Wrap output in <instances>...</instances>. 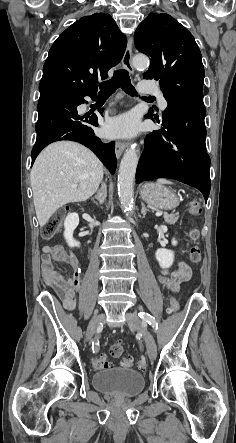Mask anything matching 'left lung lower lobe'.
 Here are the masks:
<instances>
[{"instance_id": "obj_1", "label": "left lung lower lobe", "mask_w": 236, "mask_h": 443, "mask_svg": "<svg viewBox=\"0 0 236 443\" xmlns=\"http://www.w3.org/2000/svg\"><path fill=\"white\" fill-rule=\"evenodd\" d=\"M167 102L162 129L145 138L136 183L160 177L175 179L199 189L207 201L211 182L203 96L181 95ZM153 116L158 119L151 112L146 117Z\"/></svg>"}]
</instances>
